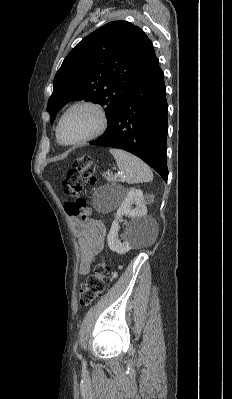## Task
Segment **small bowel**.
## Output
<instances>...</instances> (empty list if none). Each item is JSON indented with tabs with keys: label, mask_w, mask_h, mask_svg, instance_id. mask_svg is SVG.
<instances>
[{
	"label": "small bowel",
	"mask_w": 232,
	"mask_h": 399,
	"mask_svg": "<svg viewBox=\"0 0 232 399\" xmlns=\"http://www.w3.org/2000/svg\"><path fill=\"white\" fill-rule=\"evenodd\" d=\"M75 235L81 243L79 272L82 277L88 275L96 255L102 246L103 225L101 221H87L75 228Z\"/></svg>",
	"instance_id": "small-bowel-1"
}]
</instances>
